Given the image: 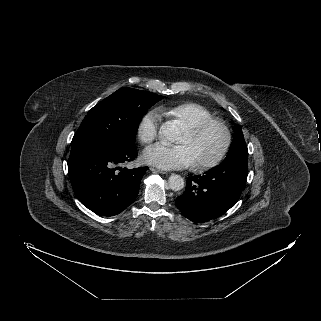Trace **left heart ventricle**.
<instances>
[{"label":"left heart ventricle","mask_w":321,"mask_h":321,"mask_svg":"<svg viewBox=\"0 0 321 321\" xmlns=\"http://www.w3.org/2000/svg\"><path fill=\"white\" fill-rule=\"evenodd\" d=\"M222 140V130L213 125L198 136H191L185 129L178 143L186 144L192 152L194 162H198L212 158L220 149Z\"/></svg>","instance_id":"left-heart-ventricle-1"}]
</instances>
